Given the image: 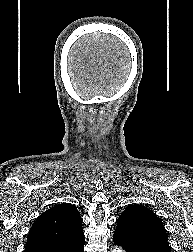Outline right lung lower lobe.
<instances>
[{"mask_svg":"<svg viewBox=\"0 0 193 252\" xmlns=\"http://www.w3.org/2000/svg\"><path fill=\"white\" fill-rule=\"evenodd\" d=\"M84 243L85 239L84 236H82L65 247H62L57 250H50L47 252H84Z\"/></svg>","mask_w":193,"mask_h":252,"instance_id":"98d812e1","label":"right lung lower lobe"}]
</instances>
